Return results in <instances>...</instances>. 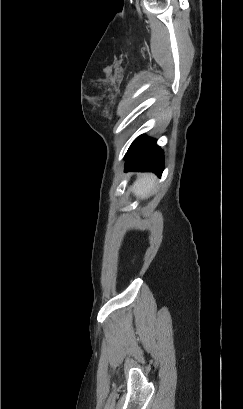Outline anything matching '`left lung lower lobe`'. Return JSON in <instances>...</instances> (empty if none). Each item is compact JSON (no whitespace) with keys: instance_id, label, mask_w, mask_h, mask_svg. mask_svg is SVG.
<instances>
[{"instance_id":"0a47b994","label":"left lung lower lobe","mask_w":243,"mask_h":409,"mask_svg":"<svg viewBox=\"0 0 243 409\" xmlns=\"http://www.w3.org/2000/svg\"><path fill=\"white\" fill-rule=\"evenodd\" d=\"M164 168L163 151L146 135L134 140L127 151L125 172L150 171L161 176Z\"/></svg>"}]
</instances>
